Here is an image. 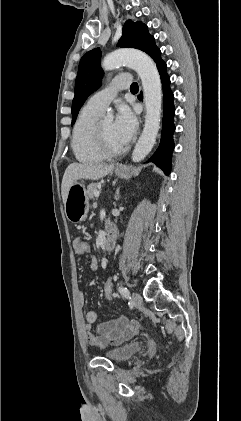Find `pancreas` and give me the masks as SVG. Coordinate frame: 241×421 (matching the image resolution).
<instances>
[{
	"mask_svg": "<svg viewBox=\"0 0 241 421\" xmlns=\"http://www.w3.org/2000/svg\"><path fill=\"white\" fill-rule=\"evenodd\" d=\"M100 187V184L98 183H91L88 185L87 187V191H86V197L87 199L91 200L94 198V192L97 191V189Z\"/></svg>",
	"mask_w": 241,
	"mask_h": 421,
	"instance_id": "obj_1",
	"label": "pancreas"
}]
</instances>
